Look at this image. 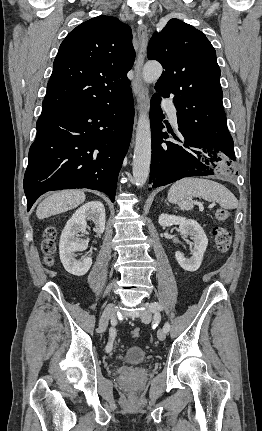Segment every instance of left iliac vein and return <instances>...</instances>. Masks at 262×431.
Instances as JSON below:
<instances>
[{"label":"left iliac vein","mask_w":262,"mask_h":431,"mask_svg":"<svg viewBox=\"0 0 262 431\" xmlns=\"http://www.w3.org/2000/svg\"><path fill=\"white\" fill-rule=\"evenodd\" d=\"M142 306L144 307V309L141 310L140 317L143 322H150L152 320L150 305L148 303H142ZM157 337L160 341L165 340V337H166L165 331L163 329H159L157 332Z\"/></svg>","instance_id":"1"}]
</instances>
